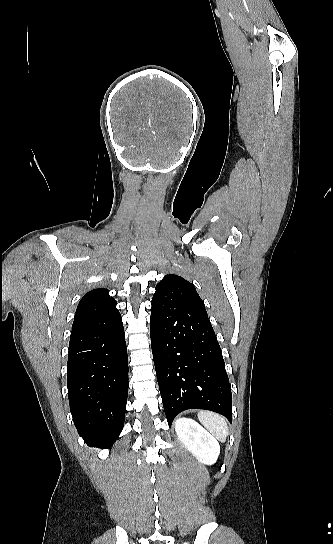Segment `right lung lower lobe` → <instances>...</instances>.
I'll return each instance as SVG.
<instances>
[{
    "instance_id": "obj_1",
    "label": "right lung lower lobe",
    "mask_w": 333,
    "mask_h": 544,
    "mask_svg": "<svg viewBox=\"0 0 333 544\" xmlns=\"http://www.w3.org/2000/svg\"><path fill=\"white\" fill-rule=\"evenodd\" d=\"M128 357L120 313L72 329L67 362L70 411L84 442L110 448L123 426Z\"/></svg>"
}]
</instances>
